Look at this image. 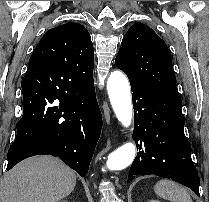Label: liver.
<instances>
[{
	"label": "liver",
	"instance_id": "1",
	"mask_svg": "<svg viewBox=\"0 0 209 202\" xmlns=\"http://www.w3.org/2000/svg\"><path fill=\"white\" fill-rule=\"evenodd\" d=\"M75 185V172L59 159L32 157L6 173L0 183V202H58Z\"/></svg>",
	"mask_w": 209,
	"mask_h": 202
}]
</instances>
